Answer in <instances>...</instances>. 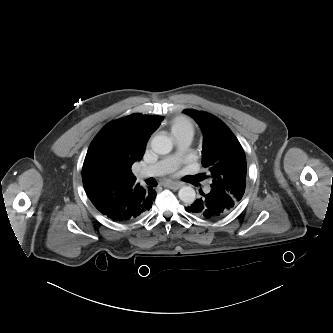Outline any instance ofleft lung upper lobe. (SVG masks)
I'll return each mask as SVG.
<instances>
[{
  "label": "left lung upper lobe",
  "mask_w": 333,
  "mask_h": 333,
  "mask_svg": "<svg viewBox=\"0 0 333 333\" xmlns=\"http://www.w3.org/2000/svg\"><path fill=\"white\" fill-rule=\"evenodd\" d=\"M184 112L203 131L202 165L211 173V188L226 192L238 205L246 187L247 167L242 146L232 131L212 114L193 109Z\"/></svg>",
  "instance_id": "left-lung-upper-lobe-1"
}]
</instances>
